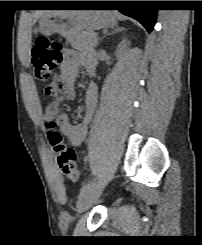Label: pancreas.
Wrapping results in <instances>:
<instances>
[{"mask_svg": "<svg viewBox=\"0 0 202 245\" xmlns=\"http://www.w3.org/2000/svg\"><path fill=\"white\" fill-rule=\"evenodd\" d=\"M95 39L96 33L92 30H86L69 39V43L74 49L85 51L92 49L97 45Z\"/></svg>", "mask_w": 202, "mask_h": 245, "instance_id": "obj_1", "label": "pancreas"}]
</instances>
